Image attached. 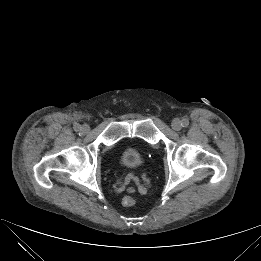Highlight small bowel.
<instances>
[{
  "instance_id": "small-bowel-1",
  "label": "small bowel",
  "mask_w": 261,
  "mask_h": 261,
  "mask_svg": "<svg viewBox=\"0 0 261 261\" xmlns=\"http://www.w3.org/2000/svg\"><path fill=\"white\" fill-rule=\"evenodd\" d=\"M128 190H129L130 192H132V191H133V188H132V187H130Z\"/></svg>"
}]
</instances>
